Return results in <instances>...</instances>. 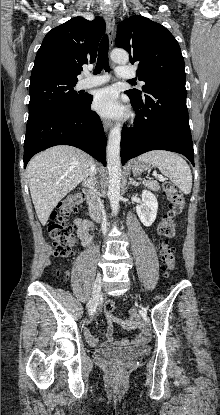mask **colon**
<instances>
[{
  "instance_id": "1",
  "label": "colon",
  "mask_w": 220,
  "mask_h": 415,
  "mask_svg": "<svg viewBox=\"0 0 220 415\" xmlns=\"http://www.w3.org/2000/svg\"><path fill=\"white\" fill-rule=\"evenodd\" d=\"M163 189L169 201V210L164 215L158 225V233L163 237L160 246V254L162 262L167 273L174 271L176 266L175 251L169 239L175 236L176 223L175 218L184 209V198L175 186L165 181ZM85 203L83 193H71L66 199L60 202L57 210L51 214L49 223V235L53 241L55 254L60 257H67L71 254L72 248L76 244V228L67 223L66 218L70 213L77 212ZM104 311L108 315H112L116 311V305L113 301L106 302ZM147 336L144 335L143 340Z\"/></svg>"
}]
</instances>
